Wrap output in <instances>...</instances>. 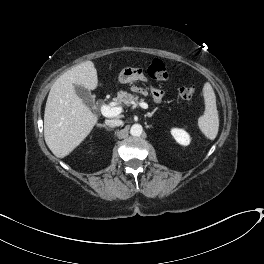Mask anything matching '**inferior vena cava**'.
Returning <instances> with one entry per match:
<instances>
[{"mask_svg":"<svg viewBox=\"0 0 264 264\" xmlns=\"http://www.w3.org/2000/svg\"><path fill=\"white\" fill-rule=\"evenodd\" d=\"M106 125L110 127L120 126L122 125V121L119 119H111V120H105Z\"/></svg>","mask_w":264,"mask_h":264,"instance_id":"602c4592","label":"inferior vena cava"}]
</instances>
